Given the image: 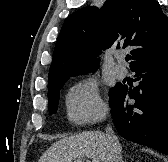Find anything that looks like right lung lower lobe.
Masks as SVG:
<instances>
[{"label": "right lung lower lobe", "mask_w": 168, "mask_h": 162, "mask_svg": "<svg viewBox=\"0 0 168 162\" xmlns=\"http://www.w3.org/2000/svg\"><path fill=\"white\" fill-rule=\"evenodd\" d=\"M131 70L139 85H119L110 102L115 127L125 139L168 155V48Z\"/></svg>", "instance_id": "obj_1"}]
</instances>
